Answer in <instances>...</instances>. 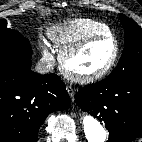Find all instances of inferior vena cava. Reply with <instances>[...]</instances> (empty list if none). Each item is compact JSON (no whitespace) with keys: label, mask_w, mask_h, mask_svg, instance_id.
I'll use <instances>...</instances> for the list:
<instances>
[{"label":"inferior vena cava","mask_w":142,"mask_h":142,"mask_svg":"<svg viewBox=\"0 0 142 142\" xmlns=\"http://www.w3.org/2000/svg\"><path fill=\"white\" fill-rule=\"evenodd\" d=\"M55 60L52 58L41 59L35 66V70L40 74H45L53 70Z\"/></svg>","instance_id":"1"}]
</instances>
